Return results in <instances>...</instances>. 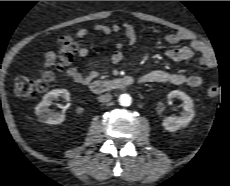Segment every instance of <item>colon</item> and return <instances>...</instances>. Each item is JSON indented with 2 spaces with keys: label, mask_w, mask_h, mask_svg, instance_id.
Masks as SVG:
<instances>
[{
  "label": "colon",
  "mask_w": 230,
  "mask_h": 186,
  "mask_svg": "<svg viewBox=\"0 0 230 186\" xmlns=\"http://www.w3.org/2000/svg\"><path fill=\"white\" fill-rule=\"evenodd\" d=\"M80 44L76 37L63 36L58 41L57 54L62 63L70 60L73 54L77 51ZM52 80L50 72H43L40 77L33 78L30 76L20 75L14 81V94L16 97L25 99L35 97L42 93L47 88ZM220 88L217 84L211 83L206 88V94L209 97H215L219 94Z\"/></svg>",
  "instance_id": "colon-1"
}]
</instances>
